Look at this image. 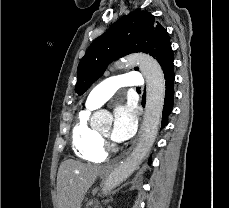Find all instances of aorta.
I'll use <instances>...</instances> for the list:
<instances>
[{"label":"aorta","mask_w":229,"mask_h":208,"mask_svg":"<svg viewBox=\"0 0 229 208\" xmlns=\"http://www.w3.org/2000/svg\"><path fill=\"white\" fill-rule=\"evenodd\" d=\"M116 65L127 68L139 66L146 81V106L139 142L131 155L109 174L102 188L103 194H107L127 179L147 156L158 133L165 98L164 73L154 58L145 54H133ZM111 120L112 116L106 110L95 112L91 118L94 126L108 124Z\"/></svg>","instance_id":"1"}]
</instances>
